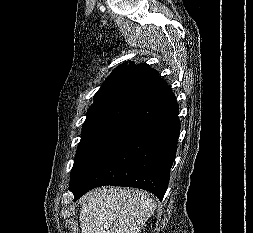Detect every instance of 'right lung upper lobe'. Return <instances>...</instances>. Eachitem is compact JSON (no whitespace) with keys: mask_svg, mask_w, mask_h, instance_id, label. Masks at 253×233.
I'll return each instance as SVG.
<instances>
[{"mask_svg":"<svg viewBox=\"0 0 253 233\" xmlns=\"http://www.w3.org/2000/svg\"><path fill=\"white\" fill-rule=\"evenodd\" d=\"M163 84L165 81L149 65L123 63L106 78L95 94L94 104L115 100L137 102Z\"/></svg>","mask_w":253,"mask_h":233,"instance_id":"obj_1","label":"right lung upper lobe"}]
</instances>
